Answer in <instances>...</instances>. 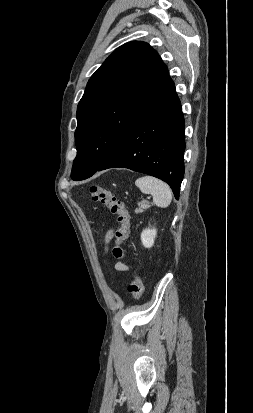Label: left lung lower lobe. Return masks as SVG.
Returning a JSON list of instances; mask_svg holds the SVG:
<instances>
[{"instance_id": "left-lung-lower-lobe-1", "label": "left lung lower lobe", "mask_w": 253, "mask_h": 413, "mask_svg": "<svg viewBox=\"0 0 253 413\" xmlns=\"http://www.w3.org/2000/svg\"><path fill=\"white\" fill-rule=\"evenodd\" d=\"M184 131L182 107L171 81L97 171L123 167L157 177L170 185L178 199L184 176Z\"/></svg>"}]
</instances>
